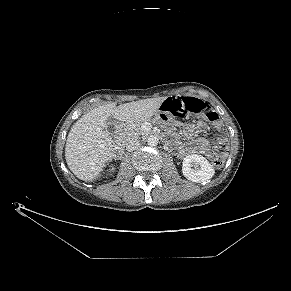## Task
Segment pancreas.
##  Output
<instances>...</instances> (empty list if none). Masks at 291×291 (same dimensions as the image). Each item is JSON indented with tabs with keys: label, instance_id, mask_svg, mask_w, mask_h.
Masks as SVG:
<instances>
[{
	"label": "pancreas",
	"instance_id": "1",
	"mask_svg": "<svg viewBox=\"0 0 291 291\" xmlns=\"http://www.w3.org/2000/svg\"><path fill=\"white\" fill-rule=\"evenodd\" d=\"M143 122L132 123L126 125L121 131L122 140L126 141L130 137H138L146 131L142 129Z\"/></svg>",
	"mask_w": 291,
	"mask_h": 291
}]
</instances>
